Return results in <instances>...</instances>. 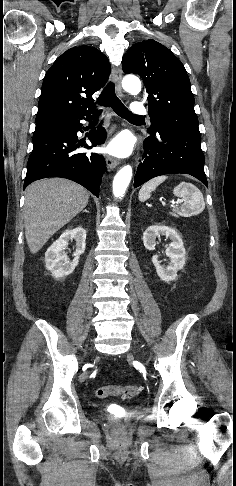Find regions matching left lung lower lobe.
<instances>
[{
    "instance_id": "1",
    "label": "left lung lower lobe",
    "mask_w": 236,
    "mask_h": 486,
    "mask_svg": "<svg viewBox=\"0 0 236 486\" xmlns=\"http://www.w3.org/2000/svg\"><path fill=\"white\" fill-rule=\"evenodd\" d=\"M144 152L134 187L165 174H190L207 186L200 134L179 129H160L143 143Z\"/></svg>"
}]
</instances>
